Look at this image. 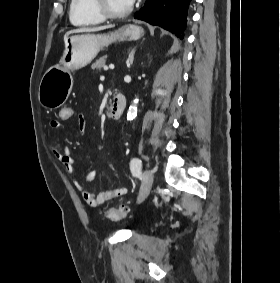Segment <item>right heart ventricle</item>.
I'll return each instance as SVG.
<instances>
[{
	"instance_id": "e07e8e85",
	"label": "right heart ventricle",
	"mask_w": 280,
	"mask_h": 283,
	"mask_svg": "<svg viewBox=\"0 0 280 283\" xmlns=\"http://www.w3.org/2000/svg\"><path fill=\"white\" fill-rule=\"evenodd\" d=\"M69 18L75 26H90L101 23L104 18L94 9L92 0H71Z\"/></svg>"
}]
</instances>
